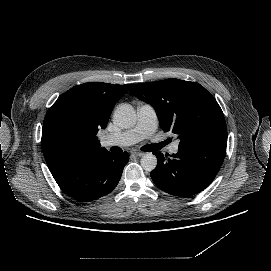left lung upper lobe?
<instances>
[{"label":"left lung upper lobe","instance_id":"obj_1","mask_svg":"<svg viewBox=\"0 0 271 271\" xmlns=\"http://www.w3.org/2000/svg\"><path fill=\"white\" fill-rule=\"evenodd\" d=\"M130 92L153 106L161 128L179 135V146L227 145L223 112L200 84L171 78L136 84Z\"/></svg>","mask_w":271,"mask_h":271}]
</instances>
